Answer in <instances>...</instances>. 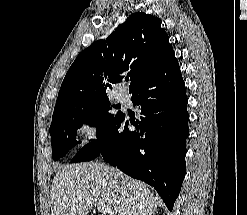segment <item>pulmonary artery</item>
Masks as SVG:
<instances>
[{
    "instance_id": "obj_1",
    "label": "pulmonary artery",
    "mask_w": 247,
    "mask_h": 215,
    "mask_svg": "<svg viewBox=\"0 0 247 215\" xmlns=\"http://www.w3.org/2000/svg\"><path fill=\"white\" fill-rule=\"evenodd\" d=\"M116 99L120 102H125L127 101L128 99V95L126 92L124 91H119L117 94H116Z\"/></svg>"
}]
</instances>
